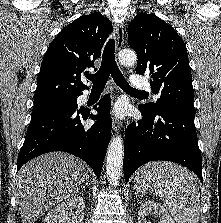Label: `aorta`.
Instances as JSON below:
<instances>
[{"mask_svg":"<svg viewBox=\"0 0 221 223\" xmlns=\"http://www.w3.org/2000/svg\"><path fill=\"white\" fill-rule=\"evenodd\" d=\"M119 62L123 65H134L137 55L132 50H122L118 55ZM123 165V140L121 136H114L107 149L106 172L110 184L117 185L122 174Z\"/></svg>","mask_w":221,"mask_h":223,"instance_id":"1","label":"aorta"}]
</instances>
